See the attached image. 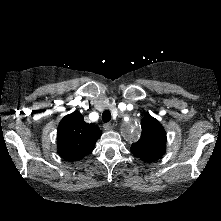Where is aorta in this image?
Masks as SVG:
<instances>
[{
  "label": "aorta",
  "mask_w": 221,
  "mask_h": 221,
  "mask_svg": "<svg viewBox=\"0 0 221 221\" xmlns=\"http://www.w3.org/2000/svg\"><path fill=\"white\" fill-rule=\"evenodd\" d=\"M123 136L128 141L132 142L139 138L140 135V127L136 125L135 123H128L123 128Z\"/></svg>",
  "instance_id": "obj_1"
}]
</instances>
